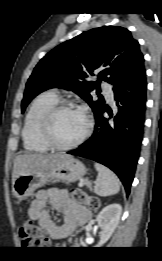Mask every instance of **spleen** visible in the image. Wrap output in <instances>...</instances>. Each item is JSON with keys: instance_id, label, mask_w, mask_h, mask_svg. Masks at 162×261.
Returning a JSON list of instances; mask_svg holds the SVG:
<instances>
[{"instance_id": "obj_1", "label": "spleen", "mask_w": 162, "mask_h": 261, "mask_svg": "<svg viewBox=\"0 0 162 261\" xmlns=\"http://www.w3.org/2000/svg\"><path fill=\"white\" fill-rule=\"evenodd\" d=\"M98 176L94 186V192L102 197L111 196L119 192L120 181L118 177L107 167L95 163Z\"/></svg>"}]
</instances>
